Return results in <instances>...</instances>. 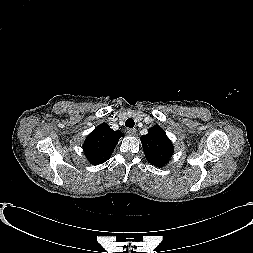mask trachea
<instances>
[{
	"instance_id": "obj_1",
	"label": "trachea",
	"mask_w": 253,
	"mask_h": 253,
	"mask_svg": "<svg viewBox=\"0 0 253 253\" xmlns=\"http://www.w3.org/2000/svg\"><path fill=\"white\" fill-rule=\"evenodd\" d=\"M134 125H135V122L132 118L127 119L126 122H125L126 127L133 128Z\"/></svg>"
}]
</instances>
